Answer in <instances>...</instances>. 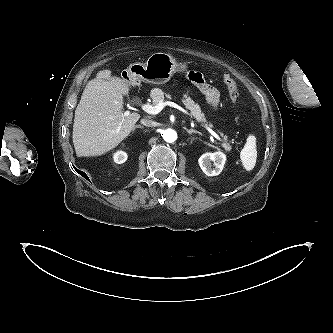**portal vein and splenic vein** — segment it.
I'll use <instances>...</instances> for the list:
<instances>
[{
	"instance_id": "obj_1",
	"label": "portal vein and splenic vein",
	"mask_w": 333,
	"mask_h": 333,
	"mask_svg": "<svg viewBox=\"0 0 333 333\" xmlns=\"http://www.w3.org/2000/svg\"><path fill=\"white\" fill-rule=\"evenodd\" d=\"M166 105H168V106H170V107H174V108H177L178 110H180V111H182L183 113H185V114H187V115H189V116H191L192 117V114H190L188 111H186L184 108H182L181 106H179V105H177L176 103H174V102H170V101H165V102H160L159 104H157L156 106H152V105H150V104H144V105H142V109L145 111V112H147V113H149V114H152V115H156V114H158L159 112H161L162 111V109L164 108V106H166ZM129 111H126L125 112V115L127 116V115H129ZM196 120L198 121V122H200L197 118H196ZM208 131L211 133V135H213L216 139H218L219 141H221V138L219 137V135H217L212 129H209L208 128Z\"/></svg>"
}]
</instances>
